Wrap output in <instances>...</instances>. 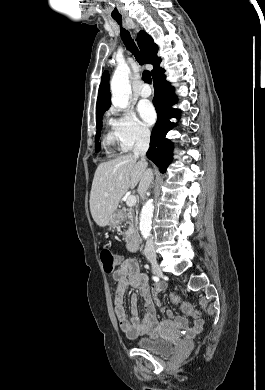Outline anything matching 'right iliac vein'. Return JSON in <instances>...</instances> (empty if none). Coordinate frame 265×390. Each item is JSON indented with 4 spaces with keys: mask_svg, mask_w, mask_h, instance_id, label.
<instances>
[{
    "mask_svg": "<svg viewBox=\"0 0 265 390\" xmlns=\"http://www.w3.org/2000/svg\"><path fill=\"white\" fill-rule=\"evenodd\" d=\"M148 261L150 262V264L152 266L153 274L156 275V276H159V277L162 276L163 272H162L161 267L157 263L156 257L155 256H149L148 257Z\"/></svg>",
    "mask_w": 265,
    "mask_h": 390,
    "instance_id": "obj_1",
    "label": "right iliac vein"
}]
</instances>
